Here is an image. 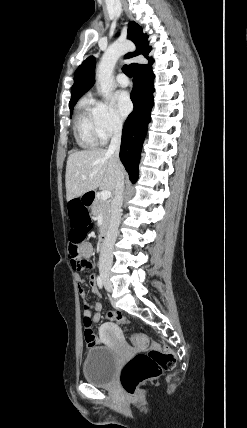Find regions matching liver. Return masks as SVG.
<instances>
[{
	"instance_id": "obj_1",
	"label": "liver",
	"mask_w": 247,
	"mask_h": 428,
	"mask_svg": "<svg viewBox=\"0 0 247 428\" xmlns=\"http://www.w3.org/2000/svg\"><path fill=\"white\" fill-rule=\"evenodd\" d=\"M119 171L124 175L122 164L117 167L116 158L105 149L95 148L72 153L67 160L65 175L67 201L98 187L113 191ZM83 176L87 178L83 179Z\"/></svg>"
}]
</instances>
